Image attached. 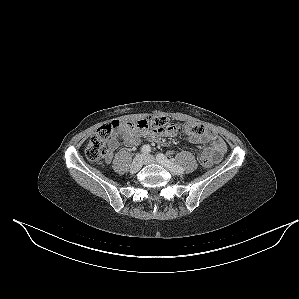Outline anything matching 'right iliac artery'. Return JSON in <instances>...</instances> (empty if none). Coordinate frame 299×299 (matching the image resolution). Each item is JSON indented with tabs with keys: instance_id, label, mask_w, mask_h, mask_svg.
<instances>
[{
	"instance_id": "82829eb1",
	"label": "right iliac artery",
	"mask_w": 299,
	"mask_h": 299,
	"mask_svg": "<svg viewBox=\"0 0 299 299\" xmlns=\"http://www.w3.org/2000/svg\"><path fill=\"white\" fill-rule=\"evenodd\" d=\"M141 151L142 153L144 154H148L150 151H151V147L149 145H144L142 148H141Z\"/></svg>"
}]
</instances>
